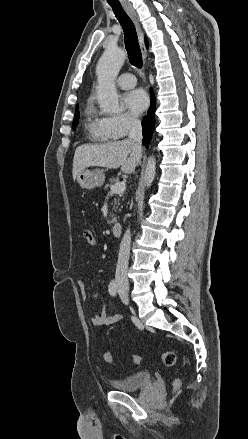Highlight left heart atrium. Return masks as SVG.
I'll use <instances>...</instances> for the list:
<instances>
[{"label":"left heart atrium","mask_w":248,"mask_h":439,"mask_svg":"<svg viewBox=\"0 0 248 439\" xmlns=\"http://www.w3.org/2000/svg\"><path fill=\"white\" fill-rule=\"evenodd\" d=\"M123 102L134 114H140L148 106V97L144 90L134 89L124 95Z\"/></svg>","instance_id":"39dd6f15"}]
</instances>
